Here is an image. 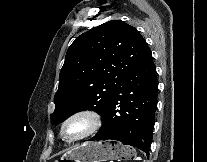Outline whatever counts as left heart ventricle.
<instances>
[{"label": "left heart ventricle", "mask_w": 207, "mask_h": 162, "mask_svg": "<svg viewBox=\"0 0 207 162\" xmlns=\"http://www.w3.org/2000/svg\"><path fill=\"white\" fill-rule=\"evenodd\" d=\"M88 126L87 121L83 119H77L70 123L65 129V136L67 138H73L80 135L82 132L86 130Z\"/></svg>", "instance_id": "obj_1"}]
</instances>
